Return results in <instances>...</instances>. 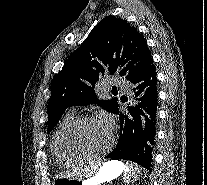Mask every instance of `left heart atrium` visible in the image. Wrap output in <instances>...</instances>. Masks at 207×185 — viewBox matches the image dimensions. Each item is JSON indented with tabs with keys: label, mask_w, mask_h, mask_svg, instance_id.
<instances>
[{
	"label": "left heart atrium",
	"mask_w": 207,
	"mask_h": 185,
	"mask_svg": "<svg viewBox=\"0 0 207 185\" xmlns=\"http://www.w3.org/2000/svg\"><path fill=\"white\" fill-rule=\"evenodd\" d=\"M99 120H100L101 122H103L105 125H107L109 128L112 129V127H113V119L111 118L110 115H108V114H106V113H103V114L100 116Z\"/></svg>",
	"instance_id": "left-heart-atrium-1"
}]
</instances>
